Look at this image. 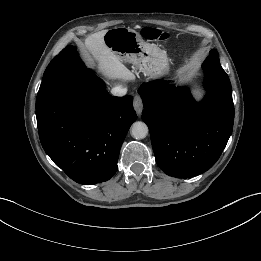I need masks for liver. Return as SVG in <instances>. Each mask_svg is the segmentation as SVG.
<instances>
[{
	"mask_svg": "<svg viewBox=\"0 0 261 261\" xmlns=\"http://www.w3.org/2000/svg\"><path fill=\"white\" fill-rule=\"evenodd\" d=\"M106 31L107 30H102L89 35L85 39L86 49L98 62V69L105 77L122 81L133 80L134 74L105 45L104 35Z\"/></svg>",
	"mask_w": 261,
	"mask_h": 261,
	"instance_id": "6515ba94",
	"label": "liver"
}]
</instances>
